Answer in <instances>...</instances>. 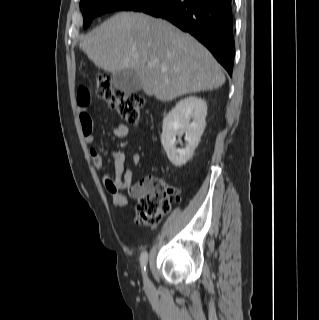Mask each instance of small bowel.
I'll list each match as a JSON object with an SVG mask.
<instances>
[{"mask_svg":"<svg viewBox=\"0 0 319 320\" xmlns=\"http://www.w3.org/2000/svg\"><path fill=\"white\" fill-rule=\"evenodd\" d=\"M91 95L87 88H81L77 93L78 121L84 133L85 141L93 144L95 141L93 135L94 120L90 112ZM128 127L122 123H118L112 131L115 138H123L127 136ZM105 149L113 161V174H110L105 166L104 155L97 147H90L89 154L93 165L100 171L104 187L111 195L112 203L117 207H124L129 203V199L137 197V184H133V172L126 166V153L121 149H114L109 142L105 143ZM131 162L139 164L141 156L133 153L130 157ZM126 189L127 194H122V190Z\"/></svg>","mask_w":319,"mask_h":320,"instance_id":"obj_1","label":"small bowel"}]
</instances>
